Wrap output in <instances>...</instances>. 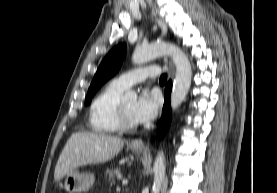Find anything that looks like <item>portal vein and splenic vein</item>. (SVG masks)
<instances>
[{"instance_id": "obj_1", "label": "portal vein and splenic vein", "mask_w": 277, "mask_h": 193, "mask_svg": "<svg viewBox=\"0 0 277 193\" xmlns=\"http://www.w3.org/2000/svg\"><path fill=\"white\" fill-rule=\"evenodd\" d=\"M122 184H123V185H127V184H128V179H123V180H122Z\"/></svg>"}]
</instances>
